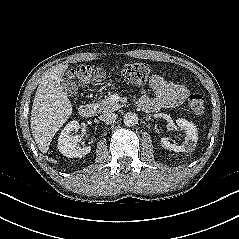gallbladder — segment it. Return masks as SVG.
Listing matches in <instances>:
<instances>
[{"instance_id": "bac80fb5", "label": "gallbladder", "mask_w": 239, "mask_h": 239, "mask_svg": "<svg viewBox=\"0 0 239 239\" xmlns=\"http://www.w3.org/2000/svg\"><path fill=\"white\" fill-rule=\"evenodd\" d=\"M61 87L68 96H74L77 94V85L73 80L63 78L61 80Z\"/></svg>"}]
</instances>
